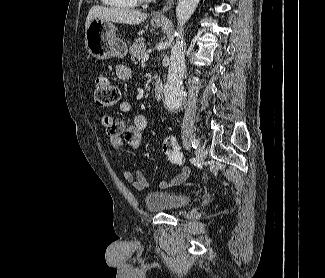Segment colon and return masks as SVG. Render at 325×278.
Here are the masks:
<instances>
[{
    "mask_svg": "<svg viewBox=\"0 0 325 278\" xmlns=\"http://www.w3.org/2000/svg\"><path fill=\"white\" fill-rule=\"evenodd\" d=\"M93 97L98 106L110 108L119 102L120 91L110 79L99 76L95 80ZM162 147L164 154L172 164L180 166L184 163L183 154L174 137H165Z\"/></svg>",
    "mask_w": 325,
    "mask_h": 278,
    "instance_id": "1",
    "label": "colon"
}]
</instances>
